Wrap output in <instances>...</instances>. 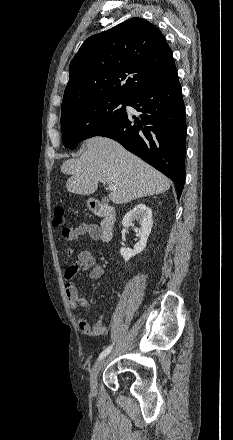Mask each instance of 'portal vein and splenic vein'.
<instances>
[{
	"mask_svg": "<svg viewBox=\"0 0 233 440\" xmlns=\"http://www.w3.org/2000/svg\"><path fill=\"white\" fill-rule=\"evenodd\" d=\"M109 190H111V191L116 190V186L115 185H109Z\"/></svg>",
	"mask_w": 233,
	"mask_h": 440,
	"instance_id": "obj_1",
	"label": "portal vein and splenic vein"
}]
</instances>
